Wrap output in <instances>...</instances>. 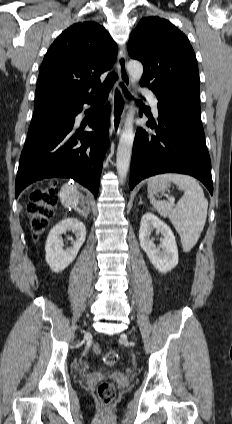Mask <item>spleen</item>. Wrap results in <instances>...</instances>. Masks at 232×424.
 Returning a JSON list of instances; mask_svg holds the SVG:
<instances>
[{"label": "spleen", "mask_w": 232, "mask_h": 424, "mask_svg": "<svg viewBox=\"0 0 232 424\" xmlns=\"http://www.w3.org/2000/svg\"><path fill=\"white\" fill-rule=\"evenodd\" d=\"M166 180L175 183L184 195L177 206L156 200L153 192L148 190L150 203L162 217H168L180 235L183 250L189 252L197 243L207 218L208 201L202 187L193 177L178 173L162 175Z\"/></svg>", "instance_id": "obj_1"}]
</instances>
